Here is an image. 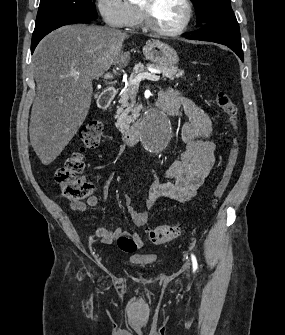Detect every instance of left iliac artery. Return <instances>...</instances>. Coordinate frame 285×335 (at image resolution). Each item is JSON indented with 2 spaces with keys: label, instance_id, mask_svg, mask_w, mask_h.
<instances>
[{
  "label": "left iliac artery",
  "instance_id": "left-iliac-artery-1",
  "mask_svg": "<svg viewBox=\"0 0 285 335\" xmlns=\"http://www.w3.org/2000/svg\"><path fill=\"white\" fill-rule=\"evenodd\" d=\"M192 262H193V271H195L198 267H197V261H196V257L192 254Z\"/></svg>",
  "mask_w": 285,
  "mask_h": 335
}]
</instances>
